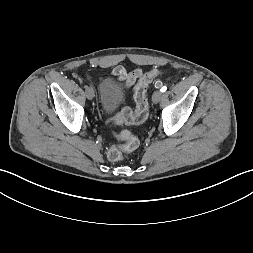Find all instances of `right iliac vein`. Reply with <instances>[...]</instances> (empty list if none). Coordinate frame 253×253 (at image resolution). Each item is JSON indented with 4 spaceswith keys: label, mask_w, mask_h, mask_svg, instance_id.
Instances as JSON below:
<instances>
[{
    "label": "right iliac vein",
    "mask_w": 253,
    "mask_h": 253,
    "mask_svg": "<svg viewBox=\"0 0 253 253\" xmlns=\"http://www.w3.org/2000/svg\"><path fill=\"white\" fill-rule=\"evenodd\" d=\"M85 94H86V97L88 99H93L94 98V90L91 88V87H88L86 90H85Z\"/></svg>",
    "instance_id": "obj_1"
}]
</instances>
